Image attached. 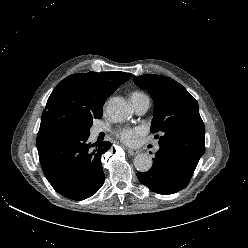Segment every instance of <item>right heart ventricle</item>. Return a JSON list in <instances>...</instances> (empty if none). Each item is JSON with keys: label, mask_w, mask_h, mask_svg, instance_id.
Instances as JSON below:
<instances>
[{"label": "right heart ventricle", "mask_w": 248, "mask_h": 248, "mask_svg": "<svg viewBox=\"0 0 248 248\" xmlns=\"http://www.w3.org/2000/svg\"><path fill=\"white\" fill-rule=\"evenodd\" d=\"M134 96H145V94H143L142 92H139V91H135L132 93V97Z\"/></svg>", "instance_id": "right-heart-ventricle-1"}]
</instances>
